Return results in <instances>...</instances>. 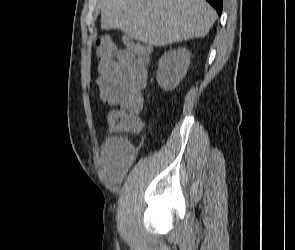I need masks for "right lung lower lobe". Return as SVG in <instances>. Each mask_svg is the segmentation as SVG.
Here are the masks:
<instances>
[{"label":"right lung lower lobe","instance_id":"right-lung-lower-lobe-1","mask_svg":"<svg viewBox=\"0 0 295 250\" xmlns=\"http://www.w3.org/2000/svg\"><path fill=\"white\" fill-rule=\"evenodd\" d=\"M209 2L217 11V13L220 15L222 12V0H206Z\"/></svg>","mask_w":295,"mask_h":250}]
</instances>
